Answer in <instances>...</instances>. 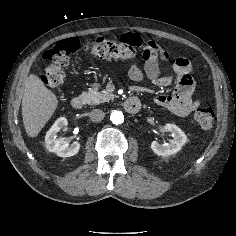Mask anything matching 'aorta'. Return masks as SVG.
Here are the masks:
<instances>
[{
	"label": "aorta",
	"mask_w": 236,
	"mask_h": 236,
	"mask_svg": "<svg viewBox=\"0 0 236 236\" xmlns=\"http://www.w3.org/2000/svg\"><path fill=\"white\" fill-rule=\"evenodd\" d=\"M110 120L113 124H121L124 122V115L121 111H113L110 116Z\"/></svg>",
	"instance_id": "1"
}]
</instances>
